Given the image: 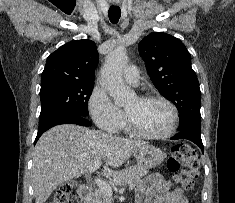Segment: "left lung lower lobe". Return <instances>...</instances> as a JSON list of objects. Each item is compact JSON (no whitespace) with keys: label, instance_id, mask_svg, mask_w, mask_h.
Returning <instances> with one entry per match:
<instances>
[{"label":"left lung lower lobe","instance_id":"left-lung-lower-lobe-1","mask_svg":"<svg viewBox=\"0 0 235 203\" xmlns=\"http://www.w3.org/2000/svg\"><path fill=\"white\" fill-rule=\"evenodd\" d=\"M179 131L180 132L178 134H176L175 136H173L171 139L190 140V141L194 142L196 145H198L199 148L204 153V147H203V143L201 140V129L200 128L190 126V127H185V128L179 129Z\"/></svg>","mask_w":235,"mask_h":203}]
</instances>
